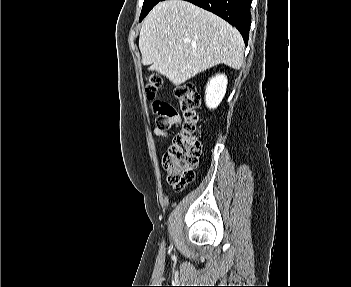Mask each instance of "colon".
I'll return each instance as SVG.
<instances>
[{"mask_svg": "<svg viewBox=\"0 0 351 287\" xmlns=\"http://www.w3.org/2000/svg\"><path fill=\"white\" fill-rule=\"evenodd\" d=\"M161 85V78L152 74L148 77L144 91L149 99H154ZM180 111L184 118L183 128L174 139L163 157V166L168 172V180L177 192H181L194 179V168L201 153L198 140L200 134V96L192 82H185L176 88ZM157 114L156 124L161 130L171 127L172 119L178 115L176 109L166 101H154Z\"/></svg>", "mask_w": 351, "mask_h": 287, "instance_id": "colon-1", "label": "colon"}]
</instances>
